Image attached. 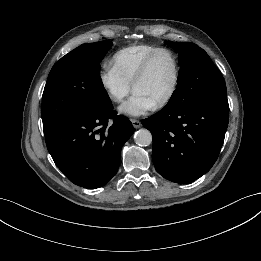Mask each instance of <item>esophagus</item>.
<instances>
[{
    "instance_id": "1",
    "label": "esophagus",
    "mask_w": 261,
    "mask_h": 261,
    "mask_svg": "<svg viewBox=\"0 0 261 261\" xmlns=\"http://www.w3.org/2000/svg\"><path fill=\"white\" fill-rule=\"evenodd\" d=\"M131 122H132V125H133V127H134L135 129L140 128L141 125H142L141 122H140L139 120H137V119H132Z\"/></svg>"
}]
</instances>
